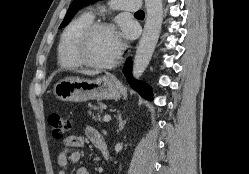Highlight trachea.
Returning a JSON list of instances; mask_svg holds the SVG:
<instances>
[{
  "instance_id": "3493384b",
  "label": "trachea",
  "mask_w": 249,
  "mask_h": 174,
  "mask_svg": "<svg viewBox=\"0 0 249 174\" xmlns=\"http://www.w3.org/2000/svg\"><path fill=\"white\" fill-rule=\"evenodd\" d=\"M135 14H144V11L143 10H139Z\"/></svg>"
}]
</instances>
